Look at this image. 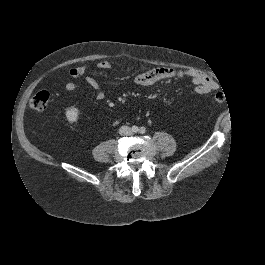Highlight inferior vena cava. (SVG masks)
<instances>
[{
  "instance_id": "obj_1",
  "label": "inferior vena cava",
  "mask_w": 265,
  "mask_h": 265,
  "mask_svg": "<svg viewBox=\"0 0 265 265\" xmlns=\"http://www.w3.org/2000/svg\"><path fill=\"white\" fill-rule=\"evenodd\" d=\"M126 128H127L128 131H131V130L129 129V127H126Z\"/></svg>"
}]
</instances>
